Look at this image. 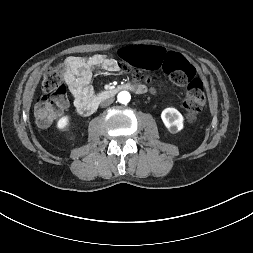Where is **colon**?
<instances>
[{
    "mask_svg": "<svg viewBox=\"0 0 253 253\" xmlns=\"http://www.w3.org/2000/svg\"><path fill=\"white\" fill-rule=\"evenodd\" d=\"M119 54L122 58L120 67L133 73L137 80L147 83L153 81L152 77L139 70L141 68L158 74L165 71L172 82L186 85L183 101L185 116L191 123L197 120L206 104L204 84L196 77L195 68L179 49L169 51L158 42L148 41L144 45L123 47ZM42 89L44 94L37 100L34 113L37 123L47 127L62 113L67 103V89L61 66L50 67L45 71Z\"/></svg>",
    "mask_w": 253,
    "mask_h": 253,
    "instance_id": "colon-1",
    "label": "colon"
}]
</instances>
